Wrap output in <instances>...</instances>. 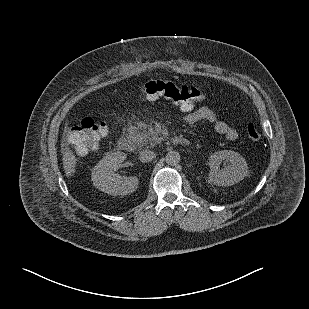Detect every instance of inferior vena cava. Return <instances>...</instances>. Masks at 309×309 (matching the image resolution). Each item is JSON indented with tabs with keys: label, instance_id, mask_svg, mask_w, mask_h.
<instances>
[{
	"label": "inferior vena cava",
	"instance_id": "1",
	"mask_svg": "<svg viewBox=\"0 0 309 309\" xmlns=\"http://www.w3.org/2000/svg\"><path fill=\"white\" fill-rule=\"evenodd\" d=\"M156 157L153 151L143 150L140 152L139 160L143 163L150 162Z\"/></svg>",
	"mask_w": 309,
	"mask_h": 309
}]
</instances>
